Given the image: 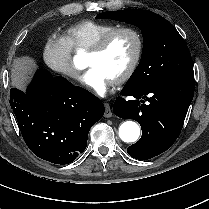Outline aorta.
Listing matches in <instances>:
<instances>
[{
	"label": "aorta",
	"instance_id": "762f6f07",
	"mask_svg": "<svg viewBox=\"0 0 209 209\" xmlns=\"http://www.w3.org/2000/svg\"><path fill=\"white\" fill-rule=\"evenodd\" d=\"M140 136V127L134 121H125L119 127V137L122 141L131 143Z\"/></svg>",
	"mask_w": 209,
	"mask_h": 209
}]
</instances>
